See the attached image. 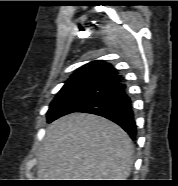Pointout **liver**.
Masks as SVG:
<instances>
[{"label":"liver","instance_id":"6515ba94","mask_svg":"<svg viewBox=\"0 0 178 186\" xmlns=\"http://www.w3.org/2000/svg\"><path fill=\"white\" fill-rule=\"evenodd\" d=\"M134 146L117 124L100 116L73 113L46 128L38 180H126Z\"/></svg>","mask_w":178,"mask_h":186}]
</instances>
